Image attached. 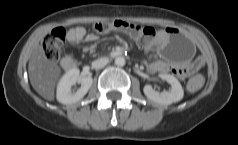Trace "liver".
Here are the masks:
<instances>
[{
  "label": "liver",
  "instance_id": "6515ba94",
  "mask_svg": "<svg viewBox=\"0 0 238 145\" xmlns=\"http://www.w3.org/2000/svg\"><path fill=\"white\" fill-rule=\"evenodd\" d=\"M28 74L35 91L46 100L53 101L61 69L56 62L46 57L41 44L33 49L28 63Z\"/></svg>",
  "mask_w": 238,
  "mask_h": 145
}]
</instances>
